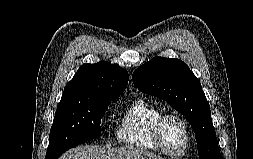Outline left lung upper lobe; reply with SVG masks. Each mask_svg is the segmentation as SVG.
<instances>
[{
    "label": "left lung upper lobe",
    "instance_id": "left-lung-upper-lobe-1",
    "mask_svg": "<svg viewBox=\"0 0 253 159\" xmlns=\"http://www.w3.org/2000/svg\"><path fill=\"white\" fill-rule=\"evenodd\" d=\"M142 92L169 102L191 124L199 159H221L209 103L199 79L181 60L154 57L132 75Z\"/></svg>",
    "mask_w": 253,
    "mask_h": 159
}]
</instances>
